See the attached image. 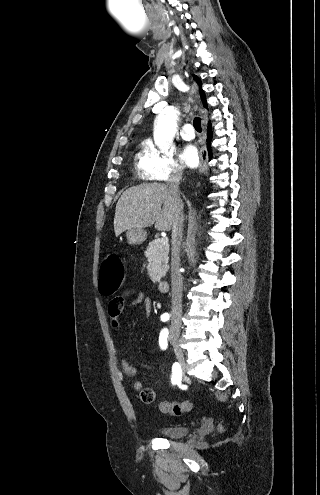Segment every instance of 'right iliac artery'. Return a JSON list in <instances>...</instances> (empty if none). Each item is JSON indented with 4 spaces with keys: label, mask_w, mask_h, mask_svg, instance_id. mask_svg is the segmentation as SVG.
<instances>
[{
    "label": "right iliac artery",
    "mask_w": 320,
    "mask_h": 495,
    "mask_svg": "<svg viewBox=\"0 0 320 495\" xmlns=\"http://www.w3.org/2000/svg\"><path fill=\"white\" fill-rule=\"evenodd\" d=\"M169 315L168 314H163L161 315V320L163 322L168 321ZM181 380V368L179 363L175 362L172 367V383L176 384Z\"/></svg>",
    "instance_id": "1"
}]
</instances>
